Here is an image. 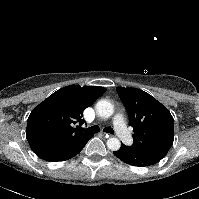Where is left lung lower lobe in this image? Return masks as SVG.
I'll list each match as a JSON object with an SVG mask.
<instances>
[{
	"label": "left lung lower lobe",
	"instance_id": "obj_1",
	"mask_svg": "<svg viewBox=\"0 0 199 199\" xmlns=\"http://www.w3.org/2000/svg\"><path fill=\"white\" fill-rule=\"evenodd\" d=\"M113 154L121 161L138 167L153 165L161 160L152 154L137 150L132 146H125L122 143L120 149Z\"/></svg>",
	"mask_w": 199,
	"mask_h": 199
}]
</instances>
